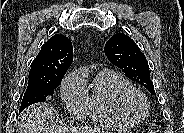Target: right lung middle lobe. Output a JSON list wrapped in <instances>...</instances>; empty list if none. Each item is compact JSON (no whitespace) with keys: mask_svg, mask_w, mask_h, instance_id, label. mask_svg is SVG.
<instances>
[{"mask_svg":"<svg viewBox=\"0 0 184 133\" xmlns=\"http://www.w3.org/2000/svg\"><path fill=\"white\" fill-rule=\"evenodd\" d=\"M62 79V77H55L46 83H29L23 96L19 112L31 104L44 102L47 96H52Z\"/></svg>","mask_w":184,"mask_h":133,"instance_id":"1","label":"right lung middle lobe"}]
</instances>
